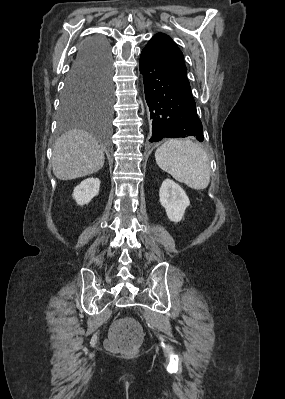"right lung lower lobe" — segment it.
Wrapping results in <instances>:
<instances>
[{
  "label": "right lung lower lobe",
  "instance_id": "1",
  "mask_svg": "<svg viewBox=\"0 0 285 399\" xmlns=\"http://www.w3.org/2000/svg\"><path fill=\"white\" fill-rule=\"evenodd\" d=\"M94 65L111 67L110 46L107 40L101 36H93L82 43L71 70Z\"/></svg>",
  "mask_w": 285,
  "mask_h": 399
}]
</instances>
